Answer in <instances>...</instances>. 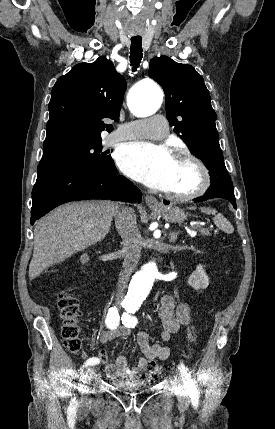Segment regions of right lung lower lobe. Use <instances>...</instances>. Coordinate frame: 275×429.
Segmentation results:
<instances>
[{"instance_id":"obj_1","label":"right lung lower lobe","mask_w":275,"mask_h":429,"mask_svg":"<svg viewBox=\"0 0 275 429\" xmlns=\"http://www.w3.org/2000/svg\"><path fill=\"white\" fill-rule=\"evenodd\" d=\"M86 199L141 202V192L114 167L71 170L37 180L32 190L31 224L60 204Z\"/></svg>"}]
</instances>
